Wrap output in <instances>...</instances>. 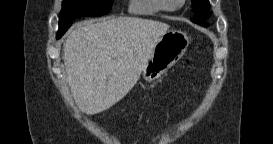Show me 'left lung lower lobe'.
<instances>
[{
  "label": "left lung lower lobe",
  "instance_id": "obj_1",
  "mask_svg": "<svg viewBox=\"0 0 273 144\" xmlns=\"http://www.w3.org/2000/svg\"><path fill=\"white\" fill-rule=\"evenodd\" d=\"M210 14H207V15H204V16H200V17H197L196 19L194 20H191L192 22L194 23H197L201 26H208L209 24L206 23V20H205V17H209Z\"/></svg>",
  "mask_w": 273,
  "mask_h": 144
}]
</instances>
